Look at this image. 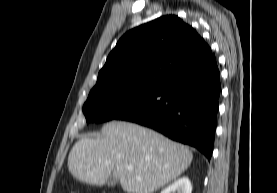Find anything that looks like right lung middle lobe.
Listing matches in <instances>:
<instances>
[{
	"instance_id": "right-lung-middle-lobe-1",
	"label": "right lung middle lobe",
	"mask_w": 277,
	"mask_h": 193,
	"mask_svg": "<svg viewBox=\"0 0 277 193\" xmlns=\"http://www.w3.org/2000/svg\"><path fill=\"white\" fill-rule=\"evenodd\" d=\"M157 88L125 86L90 92L83 106L87 122H105L120 118L124 113L146 101Z\"/></svg>"
}]
</instances>
